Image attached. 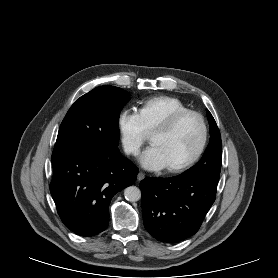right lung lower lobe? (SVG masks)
Instances as JSON below:
<instances>
[{
  "instance_id": "98d812e1",
  "label": "right lung lower lobe",
  "mask_w": 278,
  "mask_h": 278,
  "mask_svg": "<svg viewBox=\"0 0 278 278\" xmlns=\"http://www.w3.org/2000/svg\"><path fill=\"white\" fill-rule=\"evenodd\" d=\"M50 192L62 222L81 236H94L109 223V204L136 180L137 168L117 146L96 145L52 156Z\"/></svg>"
}]
</instances>
